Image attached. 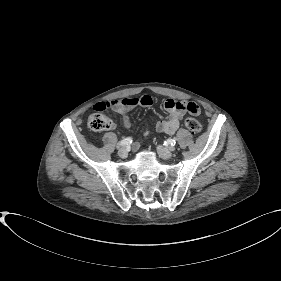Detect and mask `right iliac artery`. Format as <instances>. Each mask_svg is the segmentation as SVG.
Returning a JSON list of instances; mask_svg holds the SVG:
<instances>
[{"mask_svg":"<svg viewBox=\"0 0 281 281\" xmlns=\"http://www.w3.org/2000/svg\"><path fill=\"white\" fill-rule=\"evenodd\" d=\"M132 143V138L131 137H127L125 139H123L122 141L119 142V146H126Z\"/></svg>","mask_w":281,"mask_h":281,"instance_id":"right-iliac-artery-1","label":"right iliac artery"}]
</instances>
